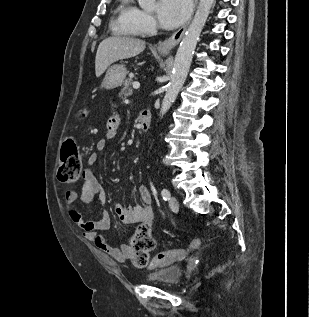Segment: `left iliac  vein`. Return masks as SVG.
I'll return each instance as SVG.
<instances>
[{
	"label": "left iliac vein",
	"instance_id": "obj_1",
	"mask_svg": "<svg viewBox=\"0 0 309 317\" xmlns=\"http://www.w3.org/2000/svg\"><path fill=\"white\" fill-rule=\"evenodd\" d=\"M169 206L172 211H178L179 209V202L175 196H171L169 199Z\"/></svg>",
	"mask_w": 309,
	"mask_h": 317
}]
</instances>
